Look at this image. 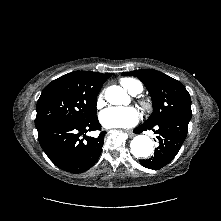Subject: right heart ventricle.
I'll return each mask as SVG.
<instances>
[{"instance_id":"obj_1","label":"right heart ventricle","mask_w":221,"mask_h":221,"mask_svg":"<svg viewBox=\"0 0 221 221\" xmlns=\"http://www.w3.org/2000/svg\"><path fill=\"white\" fill-rule=\"evenodd\" d=\"M120 83L131 94H137L143 88L141 82L133 78H123Z\"/></svg>"}]
</instances>
